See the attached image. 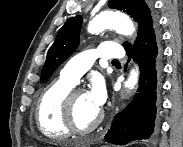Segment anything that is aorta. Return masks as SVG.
<instances>
[{"label":"aorta","instance_id":"762f6f07","mask_svg":"<svg viewBox=\"0 0 183 147\" xmlns=\"http://www.w3.org/2000/svg\"><path fill=\"white\" fill-rule=\"evenodd\" d=\"M105 29H113L123 35H132L135 32L133 22L125 14L120 12H102L95 16L88 24L87 30L90 34H98ZM138 68L131 70L125 82V88L133 89L138 82Z\"/></svg>","mask_w":183,"mask_h":147}]
</instances>
